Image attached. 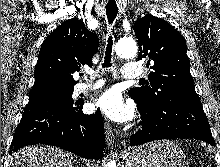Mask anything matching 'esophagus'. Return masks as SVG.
<instances>
[{
    "instance_id": "34e87169",
    "label": "esophagus",
    "mask_w": 220,
    "mask_h": 167,
    "mask_svg": "<svg viewBox=\"0 0 220 167\" xmlns=\"http://www.w3.org/2000/svg\"><path fill=\"white\" fill-rule=\"evenodd\" d=\"M105 139L108 147H111L115 140L114 130L107 121L105 122Z\"/></svg>"
}]
</instances>
